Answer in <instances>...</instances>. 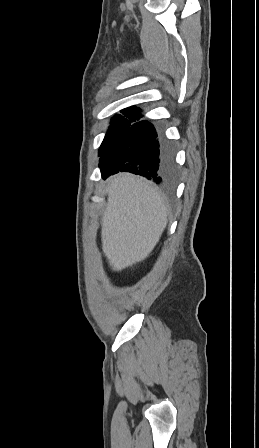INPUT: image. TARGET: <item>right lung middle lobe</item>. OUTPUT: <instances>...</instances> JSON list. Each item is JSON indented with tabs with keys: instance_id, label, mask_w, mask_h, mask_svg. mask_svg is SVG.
Wrapping results in <instances>:
<instances>
[{
	"instance_id": "obj_1",
	"label": "right lung middle lobe",
	"mask_w": 259,
	"mask_h": 448,
	"mask_svg": "<svg viewBox=\"0 0 259 448\" xmlns=\"http://www.w3.org/2000/svg\"><path fill=\"white\" fill-rule=\"evenodd\" d=\"M123 115L124 117L121 115H116L112 118L111 126L109 127L99 148V156H101L104 151L132 125L133 122L139 120L142 117L139 114Z\"/></svg>"
}]
</instances>
